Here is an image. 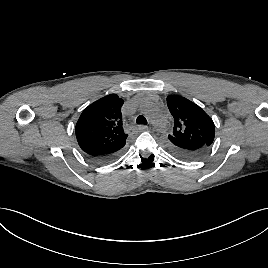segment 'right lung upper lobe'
Instances as JSON below:
<instances>
[{
    "mask_svg": "<svg viewBox=\"0 0 268 268\" xmlns=\"http://www.w3.org/2000/svg\"><path fill=\"white\" fill-rule=\"evenodd\" d=\"M123 99L107 95L84 109L76 123L80 148L89 155H106L121 150L128 137L123 130Z\"/></svg>",
    "mask_w": 268,
    "mask_h": 268,
    "instance_id": "cb5924a9",
    "label": "right lung upper lobe"
}]
</instances>
